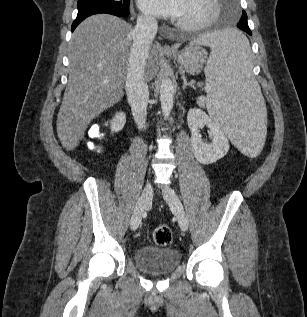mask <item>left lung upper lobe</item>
<instances>
[{
  "mask_svg": "<svg viewBox=\"0 0 307 317\" xmlns=\"http://www.w3.org/2000/svg\"><path fill=\"white\" fill-rule=\"evenodd\" d=\"M241 21H242V22H243V21H247V14H246L245 11L242 12V16H241V18H240V20H239V22H238V24H237V27L239 26V24H240Z\"/></svg>",
  "mask_w": 307,
  "mask_h": 317,
  "instance_id": "1",
  "label": "left lung upper lobe"
}]
</instances>
